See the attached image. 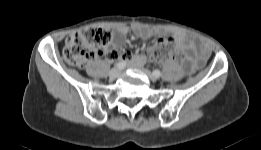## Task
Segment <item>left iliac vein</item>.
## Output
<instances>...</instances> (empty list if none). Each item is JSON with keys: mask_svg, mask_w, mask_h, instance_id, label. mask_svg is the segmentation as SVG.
<instances>
[{"mask_svg": "<svg viewBox=\"0 0 261 150\" xmlns=\"http://www.w3.org/2000/svg\"><path fill=\"white\" fill-rule=\"evenodd\" d=\"M142 71L144 72V74L151 80V81H155L157 77H155L153 75V73H151L149 70L147 69H142Z\"/></svg>", "mask_w": 261, "mask_h": 150, "instance_id": "1", "label": "left iliac vein"}]
</instances>
